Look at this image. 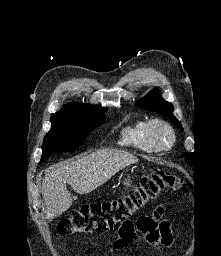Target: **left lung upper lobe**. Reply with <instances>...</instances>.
Segmentation results:
<instances>
[{
	"label": "left lung upper lobe",
	"instance_id": "5c2ea615",
	"mask_svg": "<svg viewBox=\"0 0 221 256\" xmlns=\"http://www.w3.org/2000/svg\"><path fill=\"white\" fill-rule=\"evenodd\" d=\"M136 105L147 110L156 111L166 117H168L175 125L180 127L182 130L181 123L178 119L173 115V106L170 102L165 101L159 90H151L150 93L147 94L146 97L141 98L136 101ZM187 163L192 165V155L188 154Z\"/></svg>",
	"mask_w": 221,
	"mask_h": 256
}]
</instances>
